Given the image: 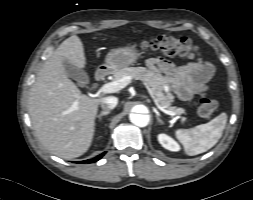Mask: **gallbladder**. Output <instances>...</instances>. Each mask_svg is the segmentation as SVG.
I'll list each match as a JSON object with an SVG mask.
<instances>
[{
  "label": "gallbladder",
  "mask_w": 253,
  "mask_h": 200,
  "mask_svg": "<svg viewBox=\"0 0 253 200\" xmlns=\"http://www.w3.org/2000/svg\"><path fill=\"white\" fill-rule=\"evenodd\" d=\"M63 65L67 76L77 80L80 85H85L88 82V75L72 65L68 60H64Z\"/></svg>",
  "instance_id": "1"
}]
</instances>
